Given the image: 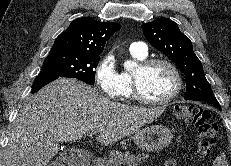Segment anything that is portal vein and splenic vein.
I'll list each match as a JSON object with an SVG mask.
<instances>
[{
  "mask_svg": "<svg viewBox=\"0 0 231 166\" xmlns=\"http://www.w3.org/2000/svg\"><path fill=\"white\" fill-rule=\"evenodd\" d=\"M95 134H96L95 131H91V132L88 133L89 136H92V135H95Z\"/></svg>",
  "mask_w": 231,
  "mask_h": 166,
  "instance_id": "18ae733b",
  "label": "portal vein and splenic vein"
}]
</instances>
